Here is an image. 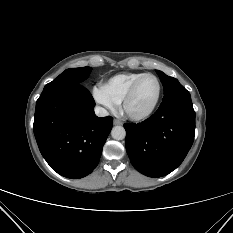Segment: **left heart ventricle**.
<instances>
[{"label":"left heart ventricle","mask_w":233,"mask_h":233,"mask_svg":"<svg viewBox=\"0 0 233 233\" xmlns=\"http://www.w3.org/2000/svg\"><path fill=\"white\" fill-rule=\"evenodd\" d=\"M158 86L155 79L147 77L143 79L128 104L132 113H142L148 110L154 103L157 96Z\"/></svg>","instance_id":"obj_1"}]
</instances>
